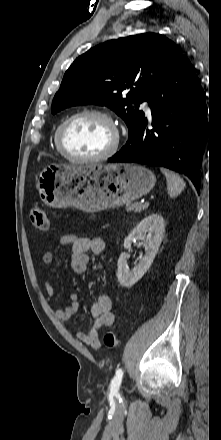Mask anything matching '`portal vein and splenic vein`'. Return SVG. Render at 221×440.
Masks as SVG:
<instances>
[{
    "instance_id": "1",
    "label": "portal vein and splenic vein",
    "mask_w": 221,
    "mask_h": 440,
    "mask_svg": "<svg viewBox=\"0 0 221 440\" xmlns=\"http://www.w3.org/2000/svg\"><path fill=\"white\" fill-rule=\"evenodd\" d=\"M144 204H145L146 206H149V202H145Z\"/></svg>"
}]
</instances>
